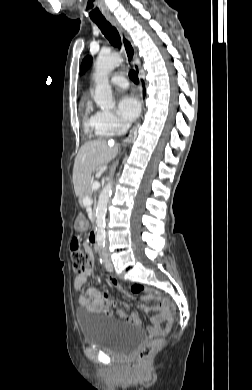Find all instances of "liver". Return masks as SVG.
Segmentation results:
<instances>
[{
    "label": "liver",
    "instance_id": "6515ba94",
    "mask_svg": "<svg viewBox=\"0 0 252 390\" xmlns=\"http://www.w3.org/2000/svg\"><path fill=\"white\" fill-rule=\"evenodd\" d=\"M117 154V147L105 140L86 142L74 162L73 184L76 196H83L90 185L91 174L99 166L108 164Z\"/></svg>",
    "mask_w": 252,
    "mask_h": 390
}]
</instances>
